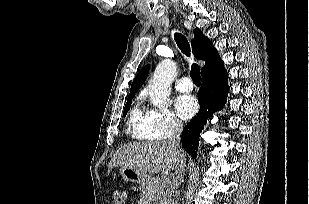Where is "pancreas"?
Masks as SVG:
<instances>
[{
  "label": "pancreas",
  "instance_id": "cf45deb5",
  "mask_svg": "<svg viewBox=\"0 0 309 204\" xmlns=\"http://www.w3.org/2000/svg\"><path fill=\"white\" fill-rule=\"evenodd\" d=\"M166 183L162 178L151 177L141 185V204H158L164 194Z\"/></svg>",
  "mask_w": 309,
  "mask_h": 204
}]
</instances>
